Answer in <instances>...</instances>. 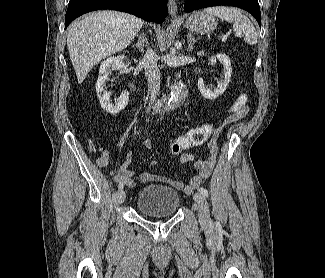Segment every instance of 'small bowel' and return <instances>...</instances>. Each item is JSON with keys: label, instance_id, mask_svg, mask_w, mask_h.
I'll return each instance as SVG.
<instances>
[{"label": "small bowel", "instance_id": "c3829d8e", "mask_svg": "<svg viewBox=\"0 0 325 278\" xmlns=\"http://www.w3.org/2000/svg\"><path fill=\"white\" fill-rule=\"evenodd\" d=\"M241 115L242 113H239L236 117ZM192 130L193 128L188 130L185 134H183V136H189L192 133ZM140 144L146 148H151V143L149 140H141ZM207 146L208 154L204 158H197L194 153L190 152H185L180 155L179 159L182 163L193 162L194 169L196 170V174L191 178L189 184L187 185H184L181 181L174 180L167 175H153L148 172H144L137 177L132 170L128 169V165L131 162L130 154H128L126 157L125 162L121 166L118 174L114 176V180L118 183L125 184L131 191L135 190L139 184H146L150 181H162L176 188H184L186 192H191L210 176L216 164L219 148L215 135L209 139ZM109 160L110 152L104 150L97 158V164L100 167H105L108 165ZM152 164H155V162Z\"/></svg>", "mask_w": 325, "mask_h": 278}]
</instances>
